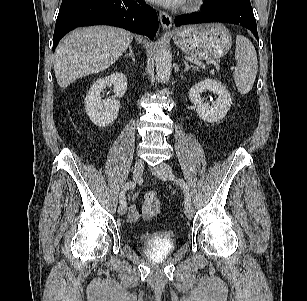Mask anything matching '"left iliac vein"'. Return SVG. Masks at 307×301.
<instances>
[{
	"label": "left iliac vein",
	"instance_id": "4c4485c4",
	"mask_svg": "<svg viewBox=\"0 0 307 301\" xmlns=\"http://www.w3.org/2000/svg\"><path fill=\"white\" fill-rule=\"evenodd\" d=\"M155 176H157L161 180H167L168 175L172 172V168L167 163L158 164L153 170ZM185 215L187 218H192L194 215V208L191 204L185 206Z\"/></svg>",
	"mask_w": 307,
	"mask_h": 301
}]
</instances>
